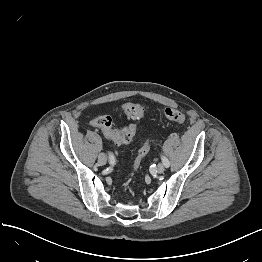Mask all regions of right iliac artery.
Returning a JSON list of instances; mask_svg holds the SVG:
<instances>
[{
  "label": "right iliac artery",
  "mask_w": 262,
  "mask_h": 262,
  "mask_svg": "<svg viewBox=\"0 0 262 262\" xmlns=\"http://www.w3.org/2000/svg\"><path fill=\"white\" fill-rule=\"evenodd\" d=\"M110 159H111V163H113V160H112V155H110Z\"/></svg>",
  "instance_id": "obj_1"
}]
</instances>
